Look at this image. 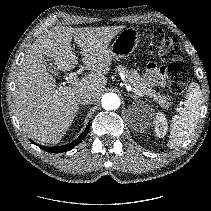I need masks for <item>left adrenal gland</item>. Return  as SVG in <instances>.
Masks as SVG:
<instances>
[{
	"label": "left adrenal gland",
	"mask_w": 211,
	"mask_h": 211,
	"mask_svg": "<svg viewBox=\"0 0 211 211\" xmlns=\"http://www.w3.org/2000/svg\"><path fill=\"white\" fill-rule=\"evenodd\" d=\"M133 99H137L138 97L135 95H130Z\"/></svg>",
	"instance_id": "left-adrenal-gland-1"
}]
</instances>
